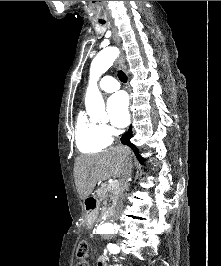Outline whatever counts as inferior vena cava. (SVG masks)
<instances>
[{
  "label": "inferior vena cava",
  "mask_w": 221,
  "mask_h": 266,
  "mask_svg": "<svg viewBox=\"0 0 221 266\" xmlns=\"http://www.w3.org/2000/svg\"><path fill=\"white\" fill-rule=\"evenodd\" d=\"M131 172H132V161L129 157H125V169L120 179L121 192H123L127 187L128 179L131 176Z\"/></svg>",
  "instance_id": "inferior-vena-cava-1"
}]
</instances>
